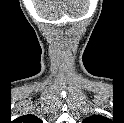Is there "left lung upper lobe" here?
<instances>
[{
  "label": "left lung upper lobe",
  "mask_w": 124,
  "mask_h": 123,
  "mask_svg": "<svg viewBox=\"0 0 124 123\" xmlns=\"http://www.w3.org/2000/svg\"><path fill=\"white\" fill-rule=\"evenodd\" d=\"M102 117L99 115H92L84 119V123H95V121L101 119Z\"/></svg>",
  "instance_id": "obj_1"
}]
</instances>
